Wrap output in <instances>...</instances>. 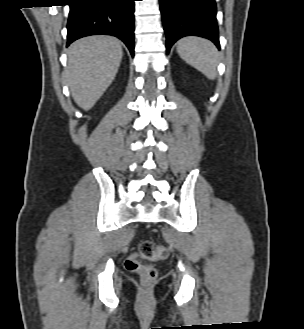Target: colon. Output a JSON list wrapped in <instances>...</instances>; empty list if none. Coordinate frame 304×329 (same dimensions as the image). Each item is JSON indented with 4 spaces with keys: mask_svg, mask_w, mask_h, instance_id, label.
Wrapping results in <instances>:
<instances>
[{
    "mask_svg": "<svg viewBox=\"0 0 304 329\" xmlns=\"http://www.w3.org/2000/svg\"><path fill=\"white\" fill-rule=\"evenodd\" d=\"M139 257L149 261H160L167 257V251L162 245H157L150 240H144L139 246L138 253L129 256L124 266L128 271L136 272L141 282H153L157 276L156 269L148 264H142Z\"/></svg>",
    "mask_w": 304,
    "mask_h": 329,
    "instance_id": "obj_1",
    "label": "colon"
}]
</instances>
